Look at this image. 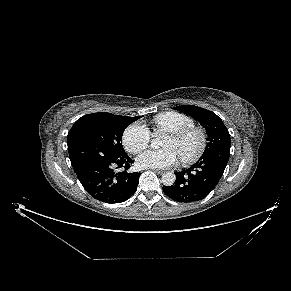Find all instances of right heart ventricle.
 <instances>
[{
  "label": "right heart ventricle",
  "mask_w": 291,
  "mask_h": 291,
  "mask_svg": "<svg viewBox=\"0 0 291 291\" xmlns=\"http://www.w3.org/2000/svg\"><path fill=\"white\" fill-rule=\"evenodd\" d=\"M155 132H172L194 126V120L183 113L168 111L156 115L153 120Z\"/></svg>",
  "instance_id": "right-heart-ventricle-1"
}]
</instances>
